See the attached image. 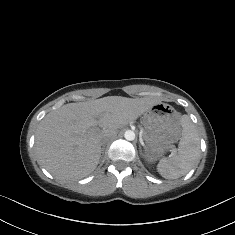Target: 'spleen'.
<instances>
[{"instance_id":"spleen-1","label":"spleen","mask_w":235,"mask_h":235,"mask_svg":"<svg viewBox=\"0 0 235 235\" xmlns=\"http://www.w3.org/2000/svg\"><path fill=\"white\" fill-rule=\"evenodd\" d=\"M182 127L178 154L172 158H162L157 165L158 173L165 179H178L186 175L200 161V139L189 116H183Z\"/></svg>"}]
</instances>
